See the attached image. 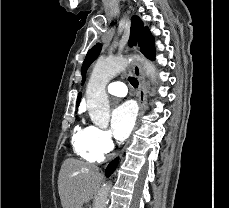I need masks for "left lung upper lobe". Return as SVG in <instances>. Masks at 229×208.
I'll return each instance as SVG.
<instances>
[{
  "label": "left lung upper lobe",
  "mask_w": 229,
  "mask_h": 208,
  "mask_svg": "<svg viewBox=\"0 0 229 208\" xmlns=\"http://www.w3.org/2000/svg\"><path fill=\"white\" fill-rule=\"evenodd\" d=\"M138 42L140 51L149 59L154 60L155 57V47L154 38L151 35L147 27H143V22L138 16L132 17V25L130 31L129 46L135 45ZM102 45L100 43L92 47L83 62L82 65V76H85L86 70L90 64L98 57L101 51Z\"/></svg>",
  "instance_id": "5c2ea615"
}]
</instances>
